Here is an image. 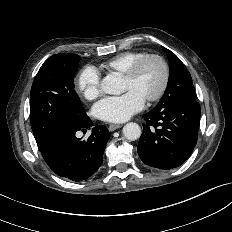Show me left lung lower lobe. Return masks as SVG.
<instances>
[{
    "mask_svg": "<svg viewBox=\"0 0 232 232\" xmlns=\"http://www.w3.org/2000/svg\"><path fill=\"white\" fill-rule=\"evenodd\" d=\"M200 113L197 101L179 99L144 114L137 147L141 160L160 170L181 166L197 143Z\"/></svg>",
    "mask_w": 232,
    "mask_h": 232,
    "instance_id": "0a47b994",
    "label": "left lung lower lobe"
}]
</instances>
